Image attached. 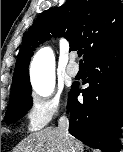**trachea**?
Returning <instances> with one entry per match:
<instances>
[{
  "mask_svg": "<svg viewBox=\"0 0 123 152\" xmlns=\"http://www.w3.org/2000/svg\"><path fill=\"white\" fill-rule=\"evenodd\" d=\"M82 54H83V50H79V51H78V56L81 57ZM81 63H82V61H81Z\"/></svg>",
  "mask_w": 123,
  "mask_h": 152,
  "instance_id": "obj_1",
  "label": "trachea"
}]
</instances>
